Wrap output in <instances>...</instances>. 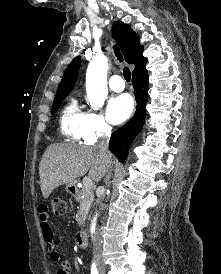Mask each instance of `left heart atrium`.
Instances as JSON below:
<instances>
[{
	"label": "left heart atrium",
	"instance_id": "39dd6f15",
	"mask_svg": "<svg viewBox=\"0 0 221 274\" xmlns=\"http://www.w3.org/2000/svg\"><path fill=\"white\" fill-rule=\"evenodd\" d=\"M133 111V100L128 94L112 97L106 107V115L112 124L124 122Z\"/></svg>",
	"mask_w": 221,
	"mask_h": 274
}]
</instances>
